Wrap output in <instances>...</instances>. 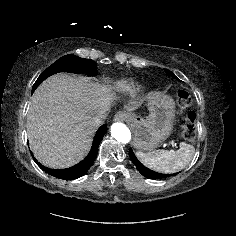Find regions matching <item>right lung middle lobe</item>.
<instances>
[{
	"label": "right lung middle lobe",
	"mask_w": 236,
	"mask_h": 236,
	"mask_svg": "<svg viewBox=\"0 0 236 236\" xmlns=\"http://www.w3.org/2000/svg\"><path fill=\"white\" fill-rule=\"evenodd\" d=\"M96 71L97 65L90 59L79 58L74 55L63 56L41 73L32 87V93L47 77L55 73H87L94 76Z\"/></svg>",
	"instance_id": "obj_1"
}]
</instances>
